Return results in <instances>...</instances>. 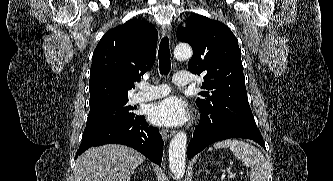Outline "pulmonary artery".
Listing matches in <instances>:
<instances>
[{"instance_id": "e3ab8cb5", "label": "pulmonary artery", "mask_w": 333, "mask_h": 181, "mask_svg": "<svg viewBox=\"0 0 333 181\" xmlns=\"http://www.w3.org/2000/svg\"><path fill=\"white\" fill-rule=\"evenodd\" d=\"M174 83L177 86H187L191 82L190 75L186 72H178L175 74ZM169 88L165 84L150 85L145 84L142 86V91L135 94L133 101L136 103L155 100L166 96L169 93Z\"/></svg>"}]
</instances>
